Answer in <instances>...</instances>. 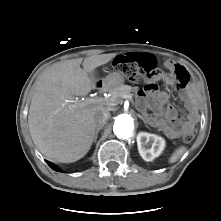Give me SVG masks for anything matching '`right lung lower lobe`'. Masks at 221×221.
I'll list each match as a JSON object with an SVG mask.
<instances>
[{"label": "right lung lower lobe", "mask_w": 221, "mask_h": 221, "mask_svg": "<svg viewBox=\"0 0 221 221\" xmlns=\"http://www.w3.org/2000/svg\"><path fill=\"white\" fill-rule=\"evenodd\" d=\"M47 162V164L53 169V170H55V171H60L55 165H53L52 163H50V162H48V161H46Z\"/></svg>", "instance_id": "98d812e1"}]
</instances>
